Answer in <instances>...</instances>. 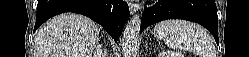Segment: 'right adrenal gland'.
I'll return each mask as SVG.
<instances>
[{"label": "right adrenal gland", "mask_w": 249, "mask_h": 57, "mask_svg": "<svg viewBox=\"0 0 249 57\" xmlns=\"http://www.w3.org/2000/svg\"><path fill=\"white\" fill-rule=\"evenodd\" d=\"M106 53H107V49L102 48V45L98 41L94 56L95 57H104V56H106Z\"/></svg>", "instance_id": "1"}]
</instances>
